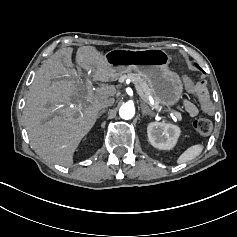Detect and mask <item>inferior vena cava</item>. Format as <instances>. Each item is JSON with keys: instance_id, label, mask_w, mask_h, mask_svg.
Masks as SVG:
<instances>
[{"instance_id": "inferior-vena-cava-1", "label": "inferior vena cava", "mask_w": 237, "mask_h": 237, "mask_svg": "<svg viewBox=\"0 0 237 237\" xmlns=\"http://www.w3.org/2000/svg\"><path fill=\"white\" fill-rule=\"evenodd\" d=\"M114 104V99L113 98H107L102 101L101 106L102 108H106L109 106H112Z\"/></svg>"}]
</instances>
